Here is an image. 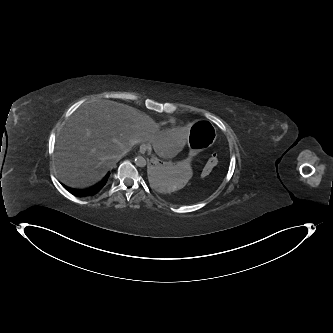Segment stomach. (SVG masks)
<instances>
[{"label":"stomach","instance_id":"obj_1","mask_svg":"<svg viewBox=\"0 0 333 333\" xmlns=\"http://www.w3.org/2000/svg\"><path fill=\"white\" fill-rule=\"evenodd\" d=\"M189 138L190 157L185 161L169 164L154 158L153 163L148 166L149 180L160 192L175 193L191 183L194 177L190 166L191 158L205 148L211 147L216 141L213 124L202 120L195 122L191 127Z\"/></svg>","mask_w":333,"mask_h":333}]
</instances>
